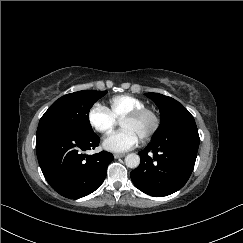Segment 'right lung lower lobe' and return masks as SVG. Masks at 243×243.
Listing matches in <instances>:
<instances>
[{
    "label": "right lung lower lobe",
    "instance_id": "obj_1",
    "mask_svg": "<svg viewBox=\"0 0 243 243\" xmlns=\"http://www.w3.org/2000/svg\"><path fill=\"white\" fill-rule=\"evenodd\" d=\"M100 142L96 134L50 130L36 134V153L49 185L60 195L77 199L95 191L104 181L113 155L102 151L86 155Z\"/></svg>",
    "mask_w": 243,
    "mask_h": 243
}]
</instances>
